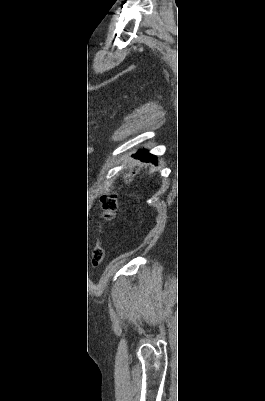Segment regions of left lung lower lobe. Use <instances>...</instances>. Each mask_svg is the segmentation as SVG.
<instances>
[{"instance_id":"obj_1","label":"left lung lower lobe","mask_w":265,"mask_h":401,"mask_svg":"<svg viewBox=\"0 0 265 401\" xmlns=\"http://www.w3.org/2000/svg\"><path fill=\"white\" fill-rule=\"evenodd\" d=\"M135 157L140 158L142 161H153L156 163V157L154 155L149 154L146 150L139 151Z\"/></svg>"}]
</instances>
